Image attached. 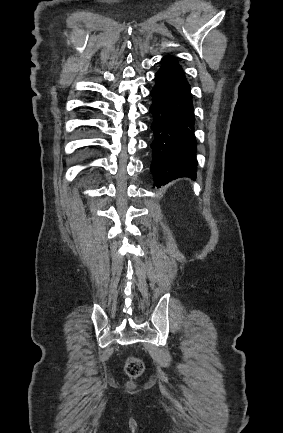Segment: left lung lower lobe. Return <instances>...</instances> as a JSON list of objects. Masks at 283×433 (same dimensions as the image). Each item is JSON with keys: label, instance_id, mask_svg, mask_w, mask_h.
<instances>
[{"label": "left lung lower lobe", "instance_id": "0a47b994", "mask_svg": "<svg viewBox=\"0 0 283 433\" xmlns=\"http://www.w3.org/2000/svg\"><path fill=\"white\" fill-rule=\"evenodd\" d=\"M161 63L149 109L154 133L150 170L157 187L182 177L195 179L197 171L190 86L177 61L167 56Z\"/></svg>", "mask_w": 283, "mask_h": 433}]
</instances>
